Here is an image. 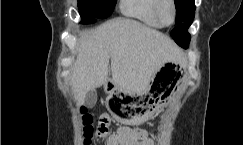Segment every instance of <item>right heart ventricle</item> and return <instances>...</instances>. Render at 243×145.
<instances>
[{
	"instance_id": "e07e8e85",
	"label": "right heart ventricle",
	"mask_w": 243,
	"mask_h": 145,
	"mask_svg": "<svg viewBox=\"0 0 243 145\" xmlns=\"http://www.w3.org/2000/svg\"><path fill=\"white\" fill-rule=\"evenodd\" d=\"M156 0H120V10L127 16L154 27L162 28L163 24L155 15Z\"/></svg>"
}]
</instances>
